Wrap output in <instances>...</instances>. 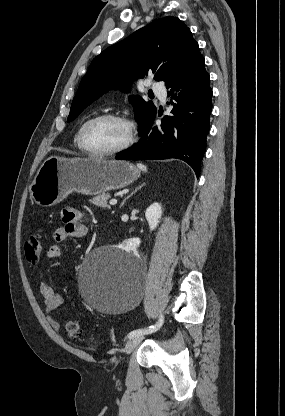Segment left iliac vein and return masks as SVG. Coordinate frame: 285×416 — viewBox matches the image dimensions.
I'll list each match as a JSON object with an SVG mask.
<instances>
[{
	"label": "left iliac vein",
	"instance_id": "1",
	"mask_svg": "<svg viewBox=\"0 0 285 416\" xmlns=\"http://www.w3.org/2000/svg\"><path fill=\"white\" fill-rule=\"evenodd\" d=\"M157 329H159V327H157ZM143 338L144 336L142 335L131 338L125 345V352L127 354L131 353L138 346V344L142 341Z\"/></svg>",
	"mask_w": 285,
	"mask_h": 416
}]
</instances>
